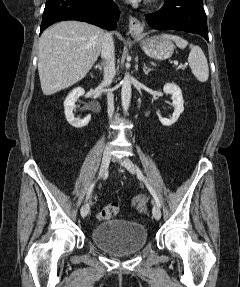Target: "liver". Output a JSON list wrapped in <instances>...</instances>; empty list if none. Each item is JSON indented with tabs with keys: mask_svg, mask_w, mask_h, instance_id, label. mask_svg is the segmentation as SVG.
<instances>
[{
	"mask_svg": "<svg viewBox=\"0 0 240 287\" xmlns=\"http://www.w3.org/2000/svg\"><path fill=\"white\" fill-rule=\"evenodd\" d=\"M104 34L99 27L79 21H62L46 29L38 51L43 94L52 95L83 79L101 52Z\"/></svg>",
	"mask_w": 240,
	"mask_h": 287,
	"instance_id": "obj_1",
	"label": "liver"
}]
</instances>
